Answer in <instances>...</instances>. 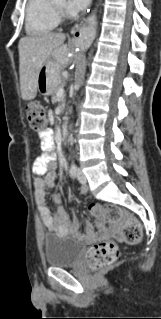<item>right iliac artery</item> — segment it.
<instances>
[{"mask_svg": "<svg viewBox=\"0 0 161 319\" xmlns=\"http://www.w3.org/2000/svg\"><path fill=\"white\" fill-rule=\"evenodd\" d=\"M70 175L73 178H77L79 176V169L77 166L72 165L70 168Z\"/></svg>", "mask_w": 161, "mask_h": 319, "instance_id": "right-iliac-artery-1", "label": "right iliac artery"}]
</instances>
